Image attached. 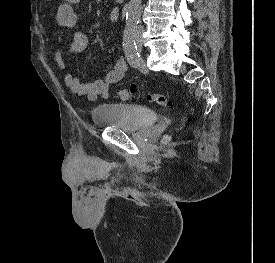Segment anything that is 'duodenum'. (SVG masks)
Instances as JSON below:
<instances>
[{
    "label": "duodenum",
    "mask_w": 275,
    "mask_h": 263,
    "mask_svg": "<svg viewBox=\"0 0 275 263\" xmlns=\"http://www.w3.org/2000/svg\"><path fill=\"white\" fill-rule=\"evenodd\" d=\"M117 3L122 4L125 0H115Z\"/></svg>",
    "instance_id": "duodenum-1"
}]
</instances>
